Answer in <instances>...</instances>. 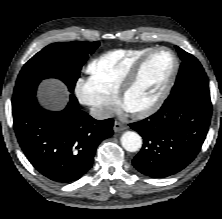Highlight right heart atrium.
<instances>
[{"instance_id": "right-heart-atrium-1", "label": "right heart atrium", "mask_w": 222, "mask_h": 219, "mask_svg": "<svg viewBox=\"0 0 222 219\" xmlns=\"http://www.w3.org/2000/svg\"><path fill=\"white\" fill-rule=\"evenodd\" d=\"M77 100L98 118L108 117L115 107V99L101 94L90 79L78 78L74 85Z\"/></svg>"}]
</instances>
